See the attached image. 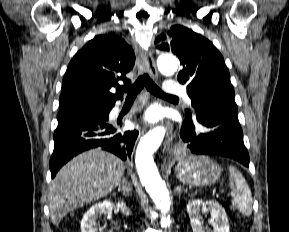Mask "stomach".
<instances>
[{
  "label": "stomach",
  "instance_id": "stomach-1",
  "mask_svg": "<svg viewBox=\"0 0 289 232\" xmlns=\"http://www.w3.org/2000/svg\"><path fill=\"white\" fill-rule=\"evenodd\" d=\"M175 171L181 182L203 186L215 183L220 177L221 168L206 157H195L178 164Z\"/></svg>",
  "mask_w": 289,
  "mask_h": 232
}]
</instances>
